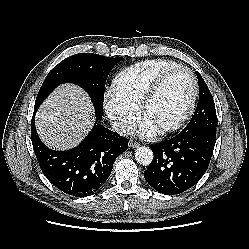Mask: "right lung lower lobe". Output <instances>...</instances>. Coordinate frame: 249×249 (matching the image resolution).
Segmentation results:
<instances>
[{"mask_svg":"<svg viewBox=\"0 0 249 249\" xmlns=\"http://www.w3.org/2000/svg\"><path fill=\"white\" fill-rule=\"evenodd\" d=\"M31 140L47 179L62 192L76 197L98 191L109 177L116 157L128 148V139L98 122L77 147L68 151L51 150L38 137L34 116Z\"/></svg>","mask_w":249,"mask_h":249,"instance_id":"right-lung-lower-lobe-1","label":"right lung lower lobe"}]
</instances>
